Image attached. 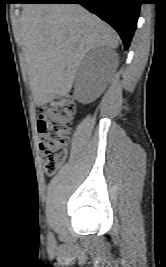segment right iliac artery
<instances>
[{"label":"right iliac artery","mask_w":166,"mask_h":267,"mask_svg":"<svg viewBox=\"0 0 166 267\" xmlns=\"http://www.w3.org/2000/svg\"><path fill=\"white\" fill-rule=\"evenodd\" d=\"M48 239H49V241H52L53 240V235L51 233H49Z\"/></svg>","instance_id":"right-iliac-artery-1"}]
</instances>
